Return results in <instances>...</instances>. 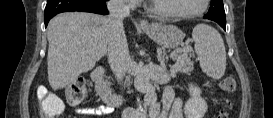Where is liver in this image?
Listing matches in <instances>:
<instances>
[{
  "instance_id": "6515ba94",
  "label": "liver",
  "mask_w": 273,
  "mask_h": 118,
  "mask_svg": "<svg viewBox=\"0 0 273 118\" xmlns=\"http://www.w3.org/2000/svg\"><path fill=\"white\" fill-rule=\"evenodd\" d=\"M108 18L85 12H65L48 25V80L53 90L69 86L106 55Z\"/></svg>"
}]
</instances>
